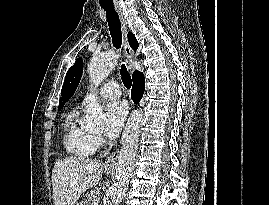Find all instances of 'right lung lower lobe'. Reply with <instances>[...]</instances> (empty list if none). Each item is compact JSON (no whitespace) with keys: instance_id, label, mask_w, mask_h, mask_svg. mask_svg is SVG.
<instances>
[{"instance_id":"1","label":"right lung lower lobe","mask_w":269,"mask_h":205,"mask_svg":"<svg viewBox=\"0 0 269 205\" xmlns=\"http://www.w3.org/2000/svg\"><path fill=\"white\" fill-rule=\"evenodd\" d=\"M145 78L143 73L135 71L133 73V87L131 90V98L135 104L139 103L141 100L144 90H145Z\"/></svg>"}]
</instances>
